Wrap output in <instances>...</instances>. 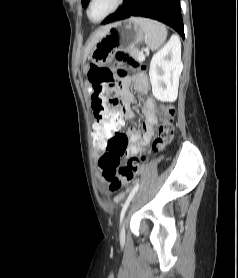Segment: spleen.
<instances>
[{"mask_svg":"<svg viewBox=\"0 0 238 278\" xmlns=\"http://www.w3.org/2000/svg\"><path fill=\"white\" fill-rule=\"evenodd\" d=\"M140 25L145 33V42L147 46L155 51L165 42L167 30L165 25L157 21L146 18H133Z\"/></svg>","mask_w":238,"mask_h":278,"instance_id":"spleen-1","label":"spleen"}]
</instances>
